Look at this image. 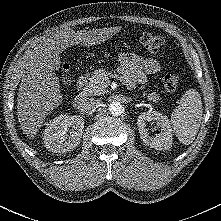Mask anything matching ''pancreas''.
Segmentation results:
<instances>
[{
  "label": "pancreas",
  "instance_id": "obj_1",
  "mask_svg": "<svg viewBox=\"0 0 221 221\" xmlns=\"http://www.w3.org/2000/svg\"><path fill=\"white\" fill-rule=\"evenodd\" d=\"M110 72L104 69L95 70L90 78V81L86 84L83 89V93L87 96L92 95H104L107 92V87L109 85ZM147 95V99L153 102L160 100L159 94L156 92L146 93L143 92V96Z\"/></svg>",
  "mask_w": 221,
  "mask_h": 221
}]
</instances>
